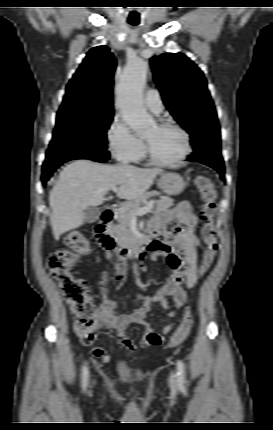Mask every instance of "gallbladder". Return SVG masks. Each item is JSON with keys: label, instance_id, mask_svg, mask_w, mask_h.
I'll list each match as a JSON object with an SVG mask.
<instances>
[{"label": "gallbladder", "instance_id": "gallbladder-1", "mask_svg": "<svg viewBox=\"0 0 273 430\" xmlns=\"http://www.w3.org/2000/svg\"><path fill=\"white\" fill-rule=\"evenodd\" d=\"M100 215H101V210L93 206L86 208V210L84 211L85 221L87 223L95 222L96 220H98Z\"/></svg>", "mask_w": 273, "mask_h": 430}]
</instances>
